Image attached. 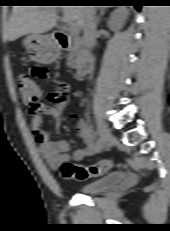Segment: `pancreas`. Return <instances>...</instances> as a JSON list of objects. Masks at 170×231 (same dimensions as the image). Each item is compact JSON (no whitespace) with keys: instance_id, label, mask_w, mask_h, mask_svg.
<instances>
[{"instance_id":"obj_1","label":"pancreas","mask_w":170,"mask_h":231,"mask_svg":"<svg viewBox=\"0 0 170 231\" xmlns=\"http://www.w3.org/2000/svg\"><path fill=\"white\" fill-rule=\"evenodd\" d=\"M79 57H80V49L74 47L67 57V65L70 68H75L79 62Z\"/></svg>"}]
</instances>
